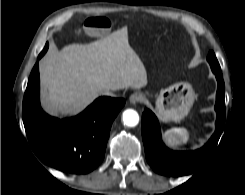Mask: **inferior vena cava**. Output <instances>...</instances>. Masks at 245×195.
Segmentation results:
<instances>
[{
	"mask_svg": "<svg viewBox=\"0 0 245 195\" xmlns=\"http://www.w3.org/2000/svg\"><path fill=\"white\" fill-rule=\"evenodd\" d=\"M102 95H106V96H115L114 91L110 90V89H105L101 91Z\"/></svg>",
	"mask_w": 245,
	"mask_h": 195,
	"instance_id": "inferior-vena-cava-1",
	"label": "inferior vena cava"
}]
</instances>
